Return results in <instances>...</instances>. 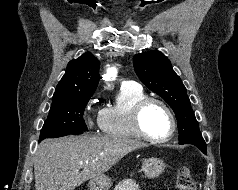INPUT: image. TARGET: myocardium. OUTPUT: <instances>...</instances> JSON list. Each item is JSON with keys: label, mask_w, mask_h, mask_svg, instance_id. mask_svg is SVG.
I'll return each instance as SVG.
<instances>
[{"label": "myocardium", "mask_w": 238, "mask_h": 190, "mask_svg": "<svg viewBox=\"0 0 238 190\" xmlns=\"http://www.w3.org/2000/svg\"><path fill=\"white\" fill-rule=\"evenodd\" d=\"M151 104H157L161 106L169 116L171 123L170 131L163 137H153L149 135L143 128L142 115L145 109ZM131 123L135 133L140 138L152 143H164L170 140L174 135L177 126L175 115L169 105L163 100L154 97H145L135 104L131 113Z\"/></svg>", "instance_id": "obj_1"}]
</instances>
